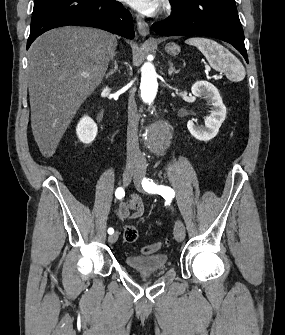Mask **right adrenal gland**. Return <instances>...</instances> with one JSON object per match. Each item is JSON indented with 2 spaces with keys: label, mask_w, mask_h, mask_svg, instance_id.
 I'll use <instances>...</instances> for the list:
<instances>
[{
  "label": "right adrenal gland",
  "mask_w": 285,
  "mask_h": 335,
  "mask_svg": "<svg viewBox=\"0 0 285 335\" xmlns=\"http://www.w3.org/2000/svg\"><path fill=\"white\" fill-rule=\"evenodd\" d=\"M116 70H118V64L115 60L113 70H110V72H108V74H105V78H110V76H112V74H114V72H116Z\"/></svg>",
  "instance_id": "obj_1"
}]
</instances>
